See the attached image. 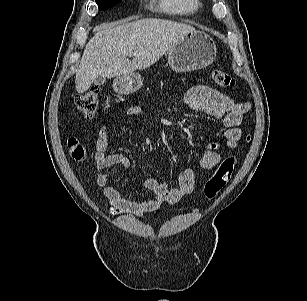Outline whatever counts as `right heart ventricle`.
<instances>
[{
    "instance_id": "obj_1",
    "label": "right heart ventricle",
    "mask_w": 307,
    "mask_h": 301,
    "mask_svg": "<svg viewBox=\"0 0 307 301\" xmlns=\"http://www.w3.org/2000/svg\"><path fill=\"white\" fill-rule=\"evenodd\" d=\"M158 6L171 14L186 15L196 11L201 6L200 0H158Z\"/></svg>"
}]
</instances>
